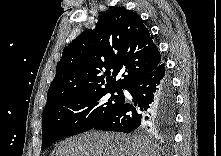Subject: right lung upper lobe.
Returning <instances> with one entry per match:
<instances>
[{"label":"right lung upper lobe","instance_id":"cb5924a9","mask_svg":"<svg viewBox=\"0 0 221 156\" xmlns=\"http://www.w3.org/2000/svg\"><path fill=\"white\" fill-rule=\"evenodd\" d=\"M161 63L141 17L124 7L111 9L63 50L45 108L76 92L125 89ZM120 72L123 79L116 81Z\"/></svg>","mask_w":221,"mask_h":156}]
</instances>
